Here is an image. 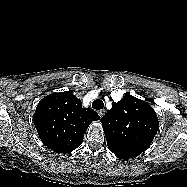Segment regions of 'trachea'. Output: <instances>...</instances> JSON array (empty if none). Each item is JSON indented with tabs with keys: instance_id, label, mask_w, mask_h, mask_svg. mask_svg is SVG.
<instances>
[{
	"instance_id": "trachea-1",
	"label": "trachea",
	"mask_w": 187,
	"mask_h": 187,
	"mask_svg": "<svg viewBox=\"0 0 187 187\" xmlns=\"http://www.w3.org/2000/svg\"><path fill=\"white\" fill-rule=\"evenodd\" d=\"M103 107H104V103H103V101L100 100V99H96V100H94L93 103H92V108H93V109L100 110V109H102Z\"/></svg>"
}]
</instances>
